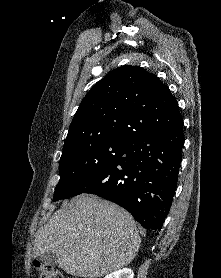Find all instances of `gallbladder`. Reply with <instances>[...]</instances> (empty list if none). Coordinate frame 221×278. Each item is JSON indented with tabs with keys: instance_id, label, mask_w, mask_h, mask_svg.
<instances>
[{
	"instance_id": "gallbladder-1",
	"label": "gallbladder",
	"mask_w": 221,
	"mask_h": 278,
	"mask_svg": "<svg viewBox=\"0 0 221 278\" xmlns=\"http://www.w3.org/2000/svg\"><path fill=\"white\" fill-rule=\"evenodd\" d=\"M41 261L48 266L54 267L58 264L57 257L51 252H46L41 256Z\"/></svg>"
}]
</instances>
